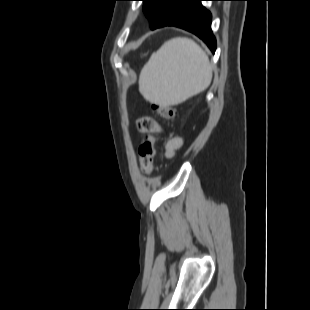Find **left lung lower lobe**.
<instances>
[{"label": "left lung lower lobe", "mask_w": 310, "mask_h": 310, "mask_svg": "<svg viewBox=\"0 0 310 310\" xmlns=\"http://www.w3.org/2000/svg\"><path fill=\"white\" fill-rule=\"evenodd\" d=\"M204 0H189L186 6L167 26H175L194 33L201 38L214 53L216 39L211 30V13L201 5Z\"/></svg>", "instance_id": "1"}]
</instances>
